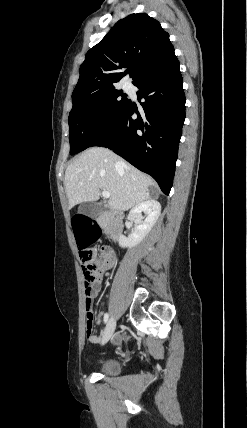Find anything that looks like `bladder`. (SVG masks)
Wrapping results in <instances>:
<instances>
[{"label": "bladder", "mask_w": 247, "mask_h": 428, "mask_svg": "<svg viewBox=\"0 0 247 428\" xmlns=\"http://www.w3.org/2000/svg\"><path fill=\"white\" fill-rule=\"evenodd\" d=\"M120 362L115 357H108L103 359L99 365L98 370L106 375H115L120 371Z\"/></svg>", "instance_id": "obj_1"}]
</instances>
